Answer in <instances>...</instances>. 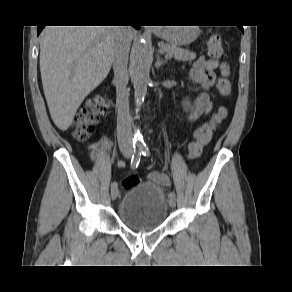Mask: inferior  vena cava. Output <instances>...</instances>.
Listing matches in <instances>:
<instances>
[{"mask_svg":"<svg viewBox=\"0 0 292 292\" xmlns=\"http://www.w3.org/2000/svg\"><path fill=\"white\" fill-rule=\"evenodd\" d=\"M130 27L118 26L116 44L113 57L114 83L117 92V139L121 151L132 152V128L129 113L128 83V58L131 38L128 31Z\"/></svg>","mask_w":292,"mask_h":292,"instance_id":"obj_1","label":"inferior vena cava"}]
</instances>
